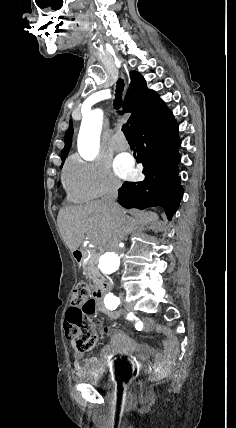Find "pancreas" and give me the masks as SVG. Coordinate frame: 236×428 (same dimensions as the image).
I'll use <instances>...</instances> for the list:
<instances>
[{
  "instance_id": "obj_1",
  "label": "pancreas",
  "mask_w": 236,
  "mask_h": 428,
  "mask_svg": "<svg viewBox=\"0 0 236 428\" xmlns=\"http://www.w3.org/2000/svg\"><path fill=\"white\" fill-rule=\"evenodd\" d=\"M99 256L100 254H94L92 258H89L88 262H85V264H83L85 276H88L89 280H91L92 288H97V286H99L100 284L99 278H101V274H99L97 268Z\"/></svg>"
}]
</instances>
